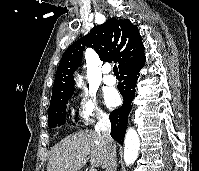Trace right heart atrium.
I'll use <instances>...</instances> for the list:
<instances>
[{
  "label": "right heart atrium",
  "instance_id": "right-heart-atrium-1",
  "mask_svg": "<svg viewBox=\"0 0 199 171\" xmlns=\"http://www.w3.org/2000/svg\"><path fill=\"white\" fill-rule=\"evenodd\" d=\"M77 111L83 126H89L96 120L101 121L105 118L95 96L89 92L79 94L77 98Z\"/></svg>",
  "mask_w": 199,
  "mask_h": 171
}]
</instances>
